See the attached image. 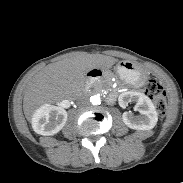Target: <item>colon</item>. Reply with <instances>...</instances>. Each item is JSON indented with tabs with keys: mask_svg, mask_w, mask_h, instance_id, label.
I'll return each instance as SVG.
<instances>
[{
	"mask_svg": "<svg viewBox=\"0 0 183 183\" xmlns=\"http://www.w3.org/2000/svg\"><path fill=\"white\" fill-rule=\"evenodd\" d=\"M145 93L155 102L158 114L164 116L166 110V92L161 83L157 80H149L145 85Z\"/></svg>",
	"mask_w": 183,
	"mask_h": 183,
	"instance_id": "5ec220e1",
	"label": "colon"
}]
</instances>
